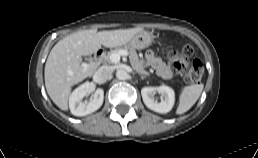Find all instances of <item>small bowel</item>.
<instances>
[{
  "label": "small bowel",
  "mask_w": 258,
  "mask_h": 158,
  "mask_svg": "<svg viewBox=\"0 0 258 158\" xmlns=\"http://www.w3.org/2000/svg\"><path fill=\"white\" fill-rule=\"evenodd\" d=\"M145 59L147 64L154 68L160 77L164 79H170L172 77V72L167 67V65L162 61L161 58L157 57L152 51H148L146 53Z\"/></svg>",
  "instance_id": "1"
}]
</instances>
